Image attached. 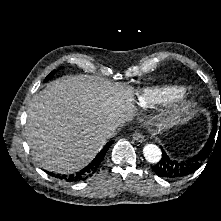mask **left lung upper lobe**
I'll use <instances>...</instances> for the list:
<instances>
[{"label":"left lung upper lobe","instance_id":"obj_1","mask_svg":"<svg viewBox=\"0 0 221 221\" xmlns=\"http://www.w3.org/2000/svg\"><path fill=\"white\" fill-rule=\"evenodd\" d=\"M220 119H221V118H220ZM217 121H218V117L216 116L215 119H214V127H213L212 133H211V135H210V138H209L207 144H210V145L213 144L214 137H215V134H216Z\"/></svg>","mask_w":221,"mask_h":221}]
</instances>
